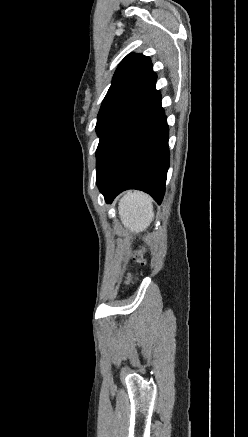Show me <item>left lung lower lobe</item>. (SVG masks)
Listing matches in <instances>:
<instances>
[{
	"label": "left lung lower lobe",
	"mask_w": 248,
	"mask_h": 437,
	"mask_svg": "<svg viewBox=\"0 0 248 437\" xmlns=\"http://www.w3.org/2000/svg\"><path fill=\"white\" fill-rule=\"evenodd\" d=\"M168 136L157 91L118 127L103 151L96 183L107 203L127 189L145 191L162 202L170 159Z\"/></svg>",
	"instance_id": "1"
}]
</instances>
